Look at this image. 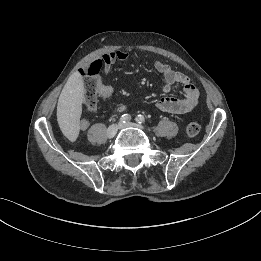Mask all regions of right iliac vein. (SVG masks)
<instances>
[{"label":"right iliac vein","mask_w":261,"mask_h":261,"mask_svg":"<svg viewBox=\"0 0 261 261\" xmlns=\"http://www.w3.org/2000/svg\"><path fill=\"white\" fill-rule=\"evenodd\" d=\"M118 129H119V125H117V124H113V125L109 126L106 131L107 137L113 138L117 134Z\"/></svg>","instance_id":"1"}]
</instances>
